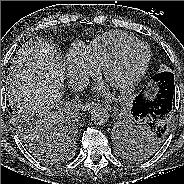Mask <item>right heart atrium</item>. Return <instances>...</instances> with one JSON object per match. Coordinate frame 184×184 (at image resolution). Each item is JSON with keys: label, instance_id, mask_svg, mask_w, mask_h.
I'll list each match as a JSON object with an SVG mask.
<instances>
[{"label": "right heart atrium", "instance_id": "d8ad5b80", "mask_svg": "<svg viewBox=\"0 0 184 184\" xmlns=\"http://www.w3.org/2000/svg\"><path fill=\"white\" fill-rule=\"evenodd\" d=\"M69 77L73 81L85 82L98 72V65L90 58L86 47L81 43H74L66 56Z\"/></svg>", "mask_w": 184, "mask_h": 184}]
</instances>
